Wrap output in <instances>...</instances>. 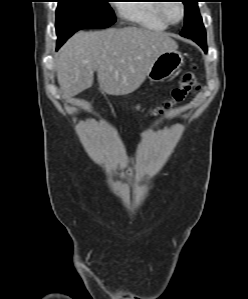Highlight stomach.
I'll return each mask as SVG.
<instances>
[{"label":"stomach","mask_w":248,"mask_h":299,"mask_svg":"<svg viewBox=\"0 0 248 299\" xmlns=\"http://www.w3.org/2000/svg\"><path fill=\"white\" fill-rule=\"evenodd\" d=\"M182 63L183 56L179 51L164 52L157 57L146 76L150 81H163L172 76Z\"/></svg>","instance_id":"obj_1"}]
</instances>
